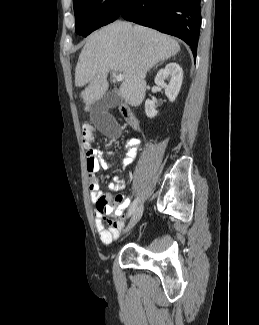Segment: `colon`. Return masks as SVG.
Returning a JSON list of instances; mask_svg holds the SVG:
<instances>
[{"label":"colon","mask_w":259,"mask_h":325,"mask_svg":"<svg viewBox=\"0 0 259 325\" xmlns=\"http://www.w3.org/2000/svg\"><path fill=\"white\" fill-rule=\"evenodd\" d=\"M93 133H94V128L91 124H86L82 128L81 132V139L83 144L87 147L90 148V144L93 140Z\"/></svg>","instance_id":"1"}]
</instances>
